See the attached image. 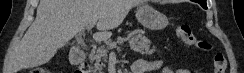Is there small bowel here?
<instances>
[{"instance_id":"obj_1","label":"small bowel","mask_w":244,"mask_h":73,"mask_svg":"<svg viewBox=\"0 0 244 73\" xmlns=\"http://www.w3.org/2000/svg\"><path fill=\"white\" fill-rule=\"evenodd\" d=\"M150 72H160V73H190L187 69H179L177 71H172L170 68L165 66L160 60H138L132 66V73H150Z\"/></svg>"}]
</instances>
